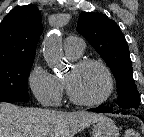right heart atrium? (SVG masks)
<instances>
[{
	"label": "right heart atrium",
	"instance_id": "1",
	"mask_svg": "<svg viewBox=\"0 0 144 137\" xmlns=\"http://www.w3.org/2000/svg\"><path fill=\"white\" fill-rule=\"evenodd\" d=\"M27 84L35 99L45 107L59 106L64 87L61 80L41 63H34L27 75Z\"/></svg>",
	"mask_w": 144,
	"mask_h": 137
}]
</instances>
